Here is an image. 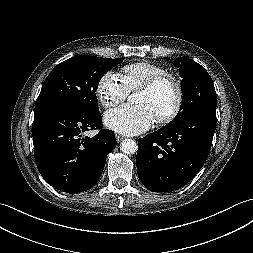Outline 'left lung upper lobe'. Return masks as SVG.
<instances>
[{
    "instance_id": "1",
    "label": "left lung upper lobe",
    "mask_w": 253,
    "mask_h": 253,
    "mask_svg": "<svg viewBox=\"0 0 253 253\" xmlns=\"http://www.w3.org/2000/svg\"><path fill=\"white\" fill-rule=\"evenodd\" d=\"M175 66L180 68L183 100L177 116L163 128H172L200 111L216 112L217 97L208 72L186 57H179Z\"/></svg>"
}]
</instances>
